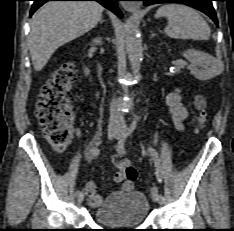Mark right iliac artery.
Masks as SVG:
<instances>
[{"instance_id": "right-iliac-artery-1", "label": "right iliac artery", "mask_w": 234, "mask_h": 231, "mask_svg": "<svg viewBox=\"0 0 234 231\" xmlns=\"http://www.w3.org/2000/svg\"><path fill=\"white\" fill-rule=\"evenodd\" d=\"M99 153H100V150H99L98 147H93V148L90 149V155H91L92 157L98 156ZM81 194H83L82 191H80V190L76 191V196H79V195H81Z\"/></svg>"}]
</instances>
